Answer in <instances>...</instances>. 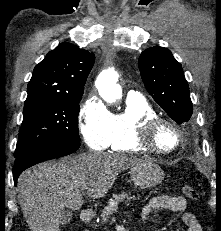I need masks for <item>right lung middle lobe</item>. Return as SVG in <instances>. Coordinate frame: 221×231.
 I'll return each instance as SVG.
<instances>
[{
  "label": "right lung middle lobe",
  "mask_w": 221,
  "mask_h": 231,
  "mask_svg": "<svg viewBox=\"0 0 221 231\" xmlns=\"http://www.w3.org/2000/svg\"><path fill=\"white\" fill-rule=\"evenodd\" d=\"M81 98L25 102L23 123L14 153L15 158L42 145L80 146L77 116Z\"/></svg>",
  "instance_id": "1"
}]
</instances>
